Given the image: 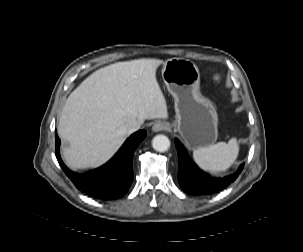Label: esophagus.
I'll list each match as a JSON object with an SVG mask.
<instances>
[{
	"label": "esophagus",
	"mask_w": 303,
	"mask_h": 252,
	"mask_svg": "<svg viewBox=\"0 0 303 252\" xmlns=\"http://www.w3.org/2000/svg\"><path fill=\"white\" fill-rule=\"evenodd\" d=\"M169 128V124L168 123H165V122H156L153 127H152V130L154 132H160V131H163V130H167Z\"/></svg>",
	"instance_id": "esophagus-1"
}]
</instances>
